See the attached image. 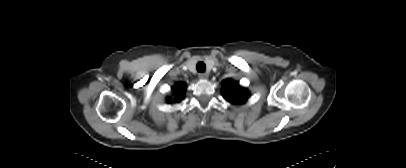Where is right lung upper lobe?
I'll list each match as a JSON object with an SVG mask.
<instances>
[{
  "label": "right lung upper lobe",
  "instance_id": "obj_1",
  "mask_svg": "<svg viewBox=\"0 0 406 168\" xmlns=\"http://www.w3.org/2000/svg\"><path fill=\"white\" fill-rule=\"evenodd\" d=\"M185 89H186V85L180 83H177L173 88V92H174V102H180L183 99V95L185 93ZM169 103L171 102V99L168 98L167 100Z\"/></svg>",
  "mask_w": 406,
  "mask_h": 168
}]
</instances>
